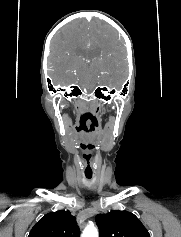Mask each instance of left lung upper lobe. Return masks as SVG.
<instances>
[{
  "instance_id": "1",
  "label": "left lung upper lobe",
  "mask_w": 181,
  "mask_h": 237,
  "mask_svg": "<svg viewBox=\"0 0 181 237\" xmlns=\"http://www.w3.org/2000/svg\"><path fill=\"white\" fill-rule=\"evenodd\" d=\"M100 237H150L142 222L131 212L114 210L95 217Z\"/></svg>"
}]
</instances>
